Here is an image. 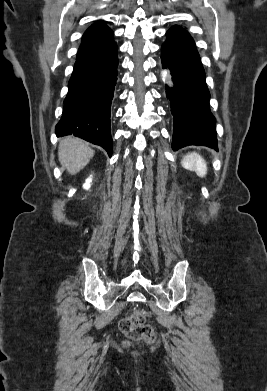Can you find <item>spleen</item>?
Listing matches in <instances>:
<instances>
[{
	"instance_id": "spleen-1",
	"label": "spleen",
	"mask_w": 267,
	"mask_h": 391,
	"mask_svg": "<svg viewBox=\"0 0 267 391\" xmlns=\"http://www.w3.org/2000/svg\"><path fill=\"white\" fill-rule=\"evenodd\" d=\"M184 168L195 171L196 174L203 178L207 174V164L205 160L197 153H189L185 155L181 161Z\"/></svg>"
}]
</instances>
